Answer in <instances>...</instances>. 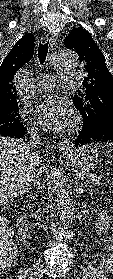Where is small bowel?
<instances>
[{
    "mask_svg": "<svg viewBox=\"0 0 113 279\" xmlns=\"http://www.w3.org/2000/svg\"><path fill=\"white\" fill-rule=\"evenodd\" d=\"M101 268L106 269L108 272L113 274V234L111 237V243L107 247V253L103 256L100 262Z\"/></svg>",
    "mask_w": 113,
    "mask_h": 279,
    "instance_id": "1",
    "label": "small bowel"
}]
</instances>
